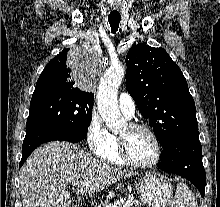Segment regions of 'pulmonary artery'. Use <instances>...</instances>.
I'll return each mask as SVG.
<instances>
[{"label": "pulmonary artery", "instance_id": "1", "mask_svg": "<svg viewBox=\"0 0 220 207\" xmlns=\"http://www.w3.org/2000/svg\"><path fill=\"white\" fill-rule=\"evenodd\" d=\"M118 105L121 111L128 117L135 114V102L133 98L126 92H122L118 98Z\"/></svg>", "mask_w": 220, "mask_h": 207}]
</instances>
